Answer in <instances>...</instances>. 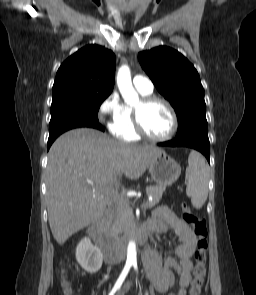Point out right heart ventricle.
Here are the masks:
<instances>
[{
  "instance_id": "1",
  "label": "right heart ventricle",
  "mask_w": 256,
  "mask_h": 295,
  "mask_svg": "<svg viewBox=\"0 0 256 295\" xmlns=\"http://www.w3.org/2000/svg\"><path fill=\"white\" fill-rule=\"evenodd\" d=\"M142 96H148L151 93H142L139 92ZM124 110V122L122 126L118 127L113 133L115 136H117L119 139L127 141V142H132V141H137L139 140V136L134 130L133 126V119H132V108L130 106L124 105L123 106Z\"/></svg>"
}]
</instances>
